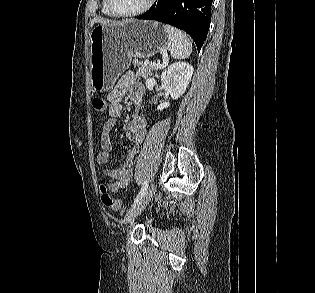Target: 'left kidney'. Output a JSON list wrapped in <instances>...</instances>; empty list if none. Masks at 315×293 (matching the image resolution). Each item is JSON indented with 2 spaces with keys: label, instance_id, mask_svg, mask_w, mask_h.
<instances>
[{
  "label": "left kidney",
  "instance_id": "obj_1",
  "mask_svg": "<svg viewBox=\"0 0 315 293\" xmlns=\"http://www.w3.org/2000/svg\"><path fill=\"white\" fill-rule=\"evenodd\" d=\"M193 67L186 62H176L167 67L161 74L163 87L171 98L178 99L181 97L193 75ZM170 106L169 101L158 105L157 110L162 111Z\"/></svg>",
  "mask_w": 315,
  "mask_h": 293
}]
</instances>
